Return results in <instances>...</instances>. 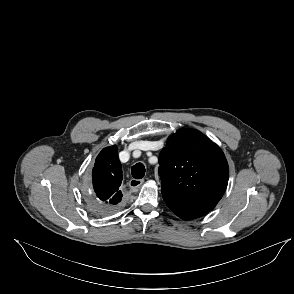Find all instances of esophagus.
<instances>
[{"label":"esophagus","mask_w":294,"mask_h":294,"mask_svg":"<svg viewBox=\"0 0 294 294\" xmlns=\"http://www.w3.org/2000/svg\"><path fill=\"white\" fill-rule=\"evenodd\" d=\"M143 183H144V179L133 178L129 181V186L132 190L136 191Z\"/></svg>","instance_id":"obj_1"}]
</instances>
